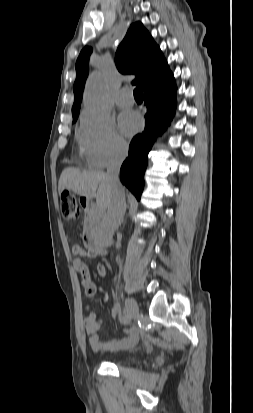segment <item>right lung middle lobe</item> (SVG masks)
Segmentation results:
<instances>
[{
	"label": "right lung middle lobe",
	"mask_w": 253,
	"mask_h": 413,
	"mask_svg": "<svg viewBox=\"0 0 253 413\" xmlns=\"http://www.w3.org/2000/svg\"><path fill=\"white\" fill-rule=\"evenodd\" d=\"M77 118L73 119V122H76Z\"/></svg>",
	"instance_id": "1"
}]
</instances>
